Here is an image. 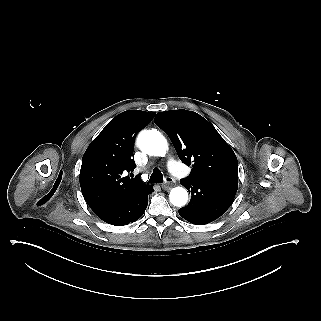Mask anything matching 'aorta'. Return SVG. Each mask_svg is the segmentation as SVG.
<instances>
[{"label": "aorta", "mask_w": 321, "mask_h": 321, "mask_svg": "<svg viewBox=\"0 0 321 321\" xmlns=\"http://www.w3.org/2000/svg\"><path fill=\"white\" fill-rule=\"evenodd\" d=\"M137 145L142 152L152 156L164 157L168 149L167 140L156 129L140 132ZM169 199L172 205L183 207L188 201V192L183 187H175L170 191Z\"/></svg>", "instance_id": "aorta-1"}]
</instances>
